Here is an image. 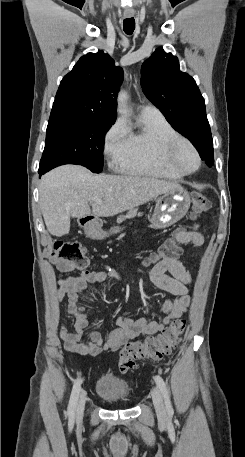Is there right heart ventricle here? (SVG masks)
Returning a JSON list of instances; mask_svg holds the SVG:
<instances>
[{
    "label": "right heart ventricle",
    "instance_id": "right-heart-ventricle-1",
    "mask_svg": "<svg viewBox=\"0 0 245 457\" xmlns=\"http://www.w3.org/2000/svg\"><path fill=\"white\" fill-rule=\"evenodd\" d=\"M174 127L161 115L141 116L136 127L126 129L125 144L112 154L113 160L128 169L168 179H180L182 175L157 166L149 152L151 140L158 139L164 145L178 136Z\"/></svg>",
    "mask_w": 245,
    "mask_h": 457
}]
</instances>
